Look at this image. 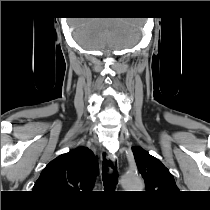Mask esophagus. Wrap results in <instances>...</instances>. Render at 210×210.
Here are the masks:
<instances>
[{
  "label": "esophagus",
  "mask_w": 210,
  "mask_h": 210,
  "mask_svg": "<svg viewBox=\"0 0 210 210\" xmlns=\"http://www.w3.org/2000/svg\"><path fill=\"white\" fill-rule=\"evenodd\" d=\"M101 164L103 165V168L107 173H110L112 170V166L115 164V156L112 154H109L106 150H103L101 152Z\"/></svg>",
  "instance_id": "esophagus-1"
}]
</instances>
